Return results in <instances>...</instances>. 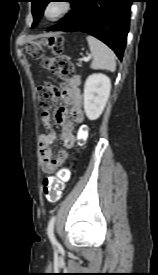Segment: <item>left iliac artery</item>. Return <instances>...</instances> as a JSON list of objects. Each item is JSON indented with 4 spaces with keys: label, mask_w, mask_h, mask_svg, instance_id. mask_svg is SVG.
Returning <instances> with one entry per match:
<instances>
[{
    "label": "left iliac artery",
    "mask_w": 158,
    "mask_h": 275,
    "mask_svg": "<svg viewBox=\"0 0 158 275\" xmlns=\"http://www.w3.org/2000/svg\"><path fill=\"white\" fill-rule=\"evenodd\" d=\"M55 219H56L55 216H53V217L50 219V221H49V223H48V227H47V234H48V237H49L51 243H52L53 245L57 246V245H58V242H57V240H56V238H55V235H54V224H55Z\"/></svg>",
    "instance_id": "obj_1"
}]
</instances>
